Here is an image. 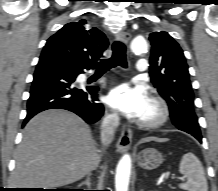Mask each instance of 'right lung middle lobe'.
<instances>
[{
    "instance_id": "obj_1",
    "label": "right lung middle lobe",
    "mask_w": 218,
    "mask_h": 191,
    "mask_svg": "<svg viewBox=\"0 0 218 191\" xmlns=\"http://www.w3.org/2000/svg\"><path fill=\"white\" fill-rule=\"evenodd\" d=\"M45 58H49V59H56V58H53V57H40V59H45Z\"/></svg>"
}]
</instances>
